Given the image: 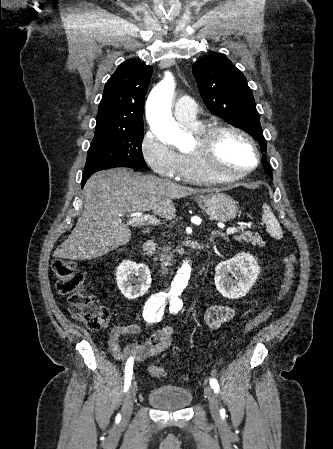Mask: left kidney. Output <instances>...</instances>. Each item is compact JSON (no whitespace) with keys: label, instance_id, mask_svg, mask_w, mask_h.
Returning <instances> with one entry per match:
<instances>
[{"label":"left kidney","instance_id":"5707ae66","mask_svg":"<svg viewBox=\"0 0 333 449\" xmlns=\"http://www.w3.org/2000/svg\"><path fill=\"white\" fill-rule=\"evenodd\" d=\"M234 270H237L236 274ZM259 273L256 258L252 254L241 252L216 267L215 286L224 297L239 299L249 292ZM233 278L239 281L236 283Z\"/></svg>","mask_w":333,"mask_h":449}]
</instances>
